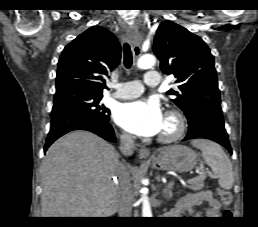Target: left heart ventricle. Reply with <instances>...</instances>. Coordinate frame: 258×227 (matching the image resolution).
Returning a JSON list of instances; mask_svg holds the SVG:
<instances>
[{"instance_id": "b2bd125f", "label": "left heart ventricle", "mask_w": 258, "mask_h": 227, "mask_svg": "<svg viewBox=\"0 0 258 227\" xmlns=\"http://www.w3.org/2000/svg\"><path fill=\"white\" fill-rule=\"evenodd\" d=\"M174 128L173 123L170 120H167L166 118L164 119V124L161 130V133H167L172 131Z\"/></svg>"}]
</instances>
